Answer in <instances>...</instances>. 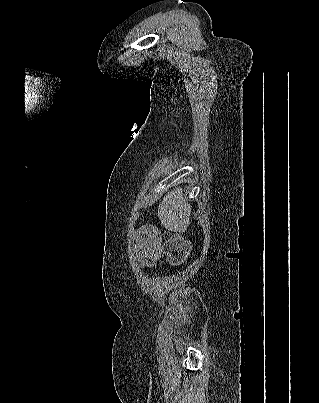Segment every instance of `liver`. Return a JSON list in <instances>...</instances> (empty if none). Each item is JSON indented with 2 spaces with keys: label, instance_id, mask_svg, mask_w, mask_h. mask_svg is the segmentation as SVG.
Listing matches in <instances>:
<instances>
[{
  "label": "liver",
  "instance_id": "6515ba94",
  "mask_svg": "<svg viewBox=\"0 0 319 403\" xmlns=\"http://www.w3.org/2000/svg\"><path fill=\"white\" fill-rule=\"evenodd\" d=\"M191 206L181 188L166 194L158 206L161 224L173 232H185L190 224Z\"/></svg>",
  "mask_w": 319,
  "mask_h": 403
}]
</instances>
